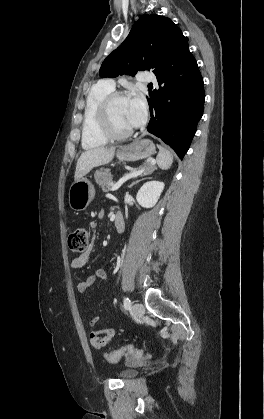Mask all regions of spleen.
<instances>
[{"label": "spleen", "instance_id": "3e777b00", "mask_svg": "<svg viewBox=\"0 0 264 419\" xmlns=\"http://www.w3.org/2000/svg\"><path fill=\"white\" fill-rule=\"evenodd\" d=\"M158 148L159 153L156 158L157 164L161 169L167 170L173 163V155L169 150L160 145H158Z\"/></svg>", "mask_w": 264, "mask_h": 419}]
</instances>
